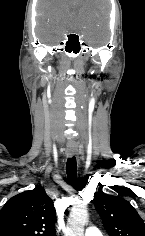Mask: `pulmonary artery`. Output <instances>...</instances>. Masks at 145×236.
<instances>
[{
    "label": "pulmonary artery",
    "mask_w": 145,
    "mask_h": 236,
    "mask_svg": "<svg viewBox=\"0 0 145 236\" xmlns=\"http://www.w3.org/2000/svg\"><path fill=\"white\" fill-rule=\"evenodd\" d=\"M85 236H102V233L97 227L89 226L85 230Z\"/></svg>",
    "instance_id": "1"
}]
</instances>
